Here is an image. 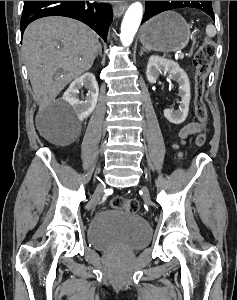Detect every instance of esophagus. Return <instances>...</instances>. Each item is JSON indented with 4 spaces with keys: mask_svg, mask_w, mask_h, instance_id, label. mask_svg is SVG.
I'll list each match as a JSON object with an SVG mask.
<instances>
[{
    "mask_svg": "<svg viewBox=\"0 0 237 300\" xmlns=\"http://www.w3.org/2000/svg\"><path fill=\"white\" fill-rule=\"evenodd\" d=\"M127 8V3H118L113 6V13L115 17H120Z\"/></svg>",
    "mask_w": 237,
    "mask_h": 300,
    "instance_id": "34e87169",
    "label": "esophagus"
}]
</instances>
